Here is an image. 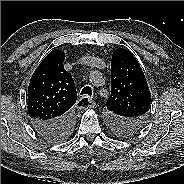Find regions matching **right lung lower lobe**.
Instances as JSON below:
<instances>
[{
    "instance_id": "right-lung-lower-lobe-1",
    "label": "right lung lower lobe",
    "mask_w": 184,
    "mask_h": 184,
    "mask_svg": "<svg viewBox=\"0 0 184 184\" xmlns=\"http://www.w3.org/2000/svg\"><path fill=\"white\" fill-rule=\"evenodd\" d=\"M73 118L71 113L68 115L51 121L32 120L33 128L43 137L51 138L66 131L73 125Z\"/></svg>"
}]
</instances>
